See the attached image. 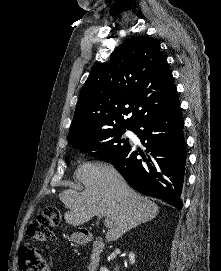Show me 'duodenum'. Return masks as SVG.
Listing matches in <instances>:
<instances>
[{"mask_svg": "<svg viewBox=\"0 0 221 271\" xmlns=\"http://www.w3.org/2000/svg\"><path fill=\"white\" fill-rule=\"evenodd\" d=\"M74 240L77 244H85L91 240V236L87 232H82L79 236H76ZM103 251L104 242L102 240H94L89 254V271H96L98 269Z\"/></svg>", "mask_w": 221, "mask_h": 271, "instance_id": "410a0bca", "label": "duodenum"}]
</instances>
